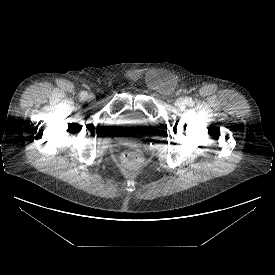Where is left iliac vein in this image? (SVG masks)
<instances>
[{"instance_id":"1","label":"left iliac vein","mask_w":275,"mask_h":275,"mask_svg":"<svg viewBox=\"0 0 275 275\" xmlns=\"http://www.w3.org/2000/svg\"><path fill=\"white\" fill-rule=\"evenodd\" d=\"M183 103H184L183 99H181V98L177 99V104L178 105H182Z\"/></svg>"}]
</instances>
